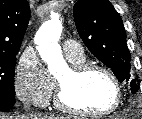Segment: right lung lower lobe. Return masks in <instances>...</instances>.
<instances>
[{
	"mask_svg": "<svg viewBox=\"0 0 142 119\" xmlns=\"http://www.w3.org/2000/svg\"><path fill=\"white\" fill-rule=\"evenodd\" d=\"M15 100H9L3 97H0V111H7L13 107Z\"/></svg>",
	"mask_w": 142,
	"mask_h": 119,
	"instance_id": "obj_1",
	"label": "right lung lower lobe"
}]
</instances>
